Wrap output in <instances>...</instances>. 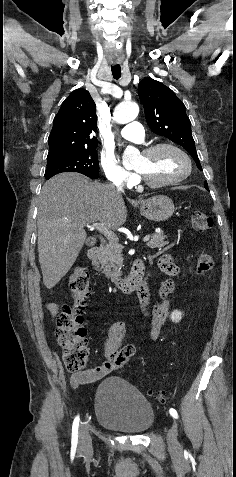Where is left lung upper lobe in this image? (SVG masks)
<instances>
[{
	"mask_svg": "<svg viewBox=\"0 0 236 477\" xmlns=\"http://www.w3.org/2000/svg\"><path fill=\"white\" fill-rule=\"evenodd\" d=\"M138 93L151 130L184 147L198 169L202 170L191 133V122L184 104L175 93L152 78H145L139 83ZM204 187L208 190L207 182H204Z\"/></svg>",
	"mask_w": 236,
	"mask_h": 477,
	"instance_id": "obj_1",
	"label": "left lung upper lobe"
}]
</instances>
